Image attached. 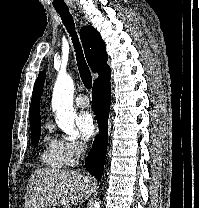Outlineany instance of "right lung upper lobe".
Segmentation results:
<instances>
[{
  "label": "right lung upper lobe",
  "mask_w": 199,
  "mask_h": 208,
  "mask_svg": "<svg viewBox=\"0 0 199 208\" xmlns=\"http://www.w3.org/2000/svg\"><path fill=\"white\" fill-rule=\"evenodd\" d=\"M80 39L84 48L87 62L93 72H97L99 77L94 84L102 82L110 78V67L107 65L108 55L106 53V45L100 34L91 26H84L80 30ZM45 80V72H40L36 79L31 105L29 109V120L31 130L40 127V98Z\"/></svg>",
  "instance_id": "right-lung-upper-lobe-1"
}]
</instances>
